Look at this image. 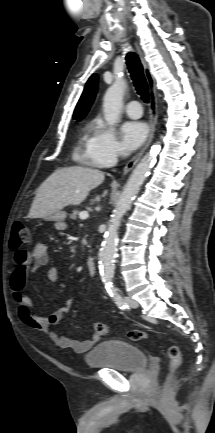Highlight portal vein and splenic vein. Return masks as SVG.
<instances>
[{"instance_id":"portal-vein-and-splenic-vein-1","label":"portal vein and splenic vein","mask_w":215,"mask_h":433,"mask_svg":"<svg viewBox=\"0 0 215 433\" xmlns=\"http://www.w3.org/2000/svg\"><path fill=\"white\" fill-rule=\"evenodd\" d=\"M80 219L85 220L88 218V213L87 212H81L79 214Z\"/></svg>"}]
</instances>
